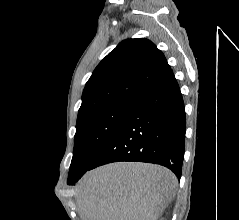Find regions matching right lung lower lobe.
Returning a JSON list of instances; mask_svg holds the SVG:
<instances>
[{"instance_id": "obj_1", "label": "right lung lower lobe", "mask_w": 239, "mask_h": 220, "mask_svg": "<svg viewBox=\"0 0 239 220\" xmlns=\"http://www.w3.org/2000/svg\"><path fill=\"white\" fill-rule=\"evenodd\" d=\"M185 129L184 102L172 74L131 104L89 170L111 162L138 161L163 165L180 179Z\"/></svg>"}]
</instances>
